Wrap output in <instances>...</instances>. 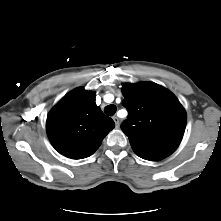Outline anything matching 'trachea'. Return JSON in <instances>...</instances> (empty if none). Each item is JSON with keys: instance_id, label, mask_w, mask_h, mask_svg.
Listing matches in <instances>:
<instances>
[{"instance_id": "obj_1", "label": "trachea", "mask_w": 221, "mask_h": 221, "mask_svg": "<svg viewBox=\"0 0 221 221\" xmlns=\"http://www.w3.org/2000/svg\"><path fill=\"white\" fill-rule=\"evenodd\" d=\"M116 110H117L116 106L111 104L104 108V113L108 116H113L116 113Z\"/></svg>"}]
</instances>
